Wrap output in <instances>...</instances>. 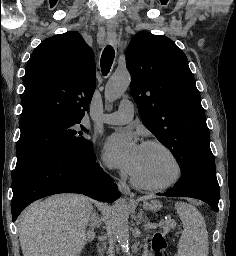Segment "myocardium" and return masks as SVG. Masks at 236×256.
<instances>
[{
    "label": "myocardium",
    "mask_w": 236,
    "mask_h": 256,
    "mask_svg": "<svg viewBox=\"0 0 236 256\" xmlns=\"http://www.w3.org/2000/svg\"><path fill=\"white\" fill-rule=\"evenodd\" d=\"M142 146L157 147V148H160L163 151H165L171 157V159L175 165L176 172H175V175L169 181H167L164 184L156 185V186L145 185V184L139 182L131 173H129L130 183L135 188L145 191V192H150V193L160 192V191L166 190V189L174 186L175 184H177L183 175V166H182V163H181L179 157L173 151V149H171L167 144H165L159 140H147V141L143 142Z\"/></svg>",
    "instance_id": "obj_1"
}]
</instances>
